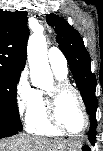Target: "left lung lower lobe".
Wrapping results in <instances>:
<instances>
[{
	"instance_id": "obj_1",
	"label": "left lung lower lobe",
	"mask_w": 103,
	"mask_h": 151,
	"mask_svg": "<svg viewBox=\"0 0 103 151\" xmlns=\"http://www.w3.org/2000/svg\"><path fill=\"white\" fill-rule=\"evenodd\" d=\"M90 115V126L91 129L89 131L90 135V142L93 145L95 143V138H96V127H97V121H96V113L89 114Z\"/></svg>"
}]
</instances>
